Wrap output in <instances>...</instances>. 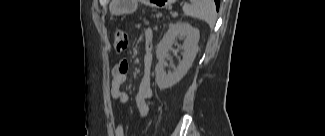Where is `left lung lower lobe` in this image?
<instances>
[{
	"label": "left lung lower lobe",
	"mask_w": 325,
	"mask_h": 136,
	"mask_svg": "<svg viewBox=\"0 0 325 136\" xmlns=\"http://www.w3.org/2000/svg\"><path fill=\"white\" fill-rule=\"evenodd\" d=\"M215 1V3H216V8H217V10L219 9V2H220V0H214Z\"/></svg>",
	"instance_id": "left-lung-lower-lobe-1"
}]
</instances>
